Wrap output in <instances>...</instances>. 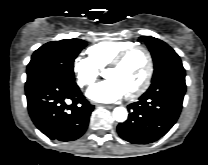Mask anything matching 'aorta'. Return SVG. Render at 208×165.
I'll return each instance as SVG.
<instances>
[{
    "label": "aorta",
    "mask_w": 208,
    "mask_h": 165,
    "mask_svg": "<svg viewBox=\"0 0 208 165\" xmlns=\"http://www.w3.org/2000/svg\"><path fill=\"white\" fill-rule=\"evenodd\" d=\"M127 117H128V112L126 108L120 106V107H116L113 110V118L117 122H124L126 121Z\"/></svg>",
    "instance_id": "1"
}]
</instances>
